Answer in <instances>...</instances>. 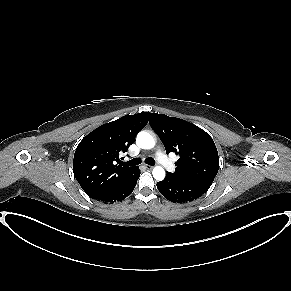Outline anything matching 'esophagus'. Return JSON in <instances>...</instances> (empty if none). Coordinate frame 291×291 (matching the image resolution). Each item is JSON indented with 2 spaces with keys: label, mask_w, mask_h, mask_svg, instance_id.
<instances>
[{
  "label": "esophagus",
  "mask_w": 291,
  "mask_h": 291,
  "mask_svg": "<svg viewBox=\"0 0 291 291\" xmlns=\"http://www.w3.org/2000/svg\"><path fill=\"white\" fill-rule=\"evenodd\" d=\"M144 167H145V169H147V170H151V169L153 168V166H151V165H144Z\"/></svg>",
  "instance_id": "1"
}]
</instances>
